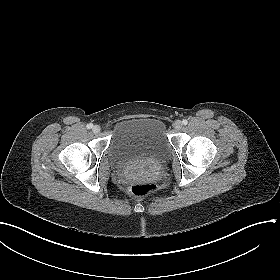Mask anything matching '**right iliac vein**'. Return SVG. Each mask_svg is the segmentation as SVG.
<instances>
[{"label": "right iliac vein", "mask_w": 280, "mask_h": 280, "mask_svg": "<svg viewBox=\"0 0 280 280\" xmlns=\"http://www.w3.org/2000/svg\"><path fill=\"white\" fill-rule=\"evenodd\" d=\"M100 130H101V128H100V126L99 125H95V126H93V128H92V131H93V133H99L100 132Z\"/></svg>", "instance_id": "obj_1"}]
</instances>
